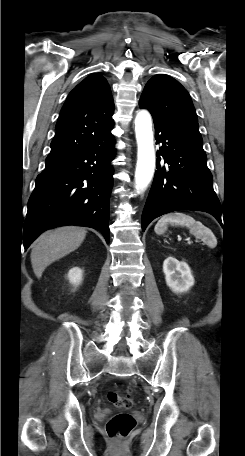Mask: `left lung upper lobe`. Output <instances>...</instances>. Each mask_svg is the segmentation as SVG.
I'll use <instances>...</instances> for the list:
<instances>
[{
  "mask_svg": "<svg viewBox=\"0 0 245 456\" xmlns=\"http://www.w3.org/2000/svg\"><path fill=\"white\" fill-rule=\"evenodd\" d=\"M139 106L147 108L153 118L202 140L190 95L174 78L163 74L152 77L143 90Z\"/></svg>",
  "mask_w": 245,
  "mask_h": 456,
  "instance_id": "1",
  "label": "left lung upper lobe"
}]
</instances>
